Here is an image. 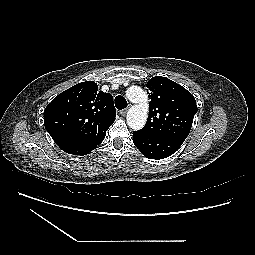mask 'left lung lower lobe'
Instances as JSON below:
<instances>
[{"label": "left lung lower lobe", "mask_w": 255, "mask_h": 255, "mask_svg": "<svg viewBox=\"0 0 255 255\" xmlns=\"http://www.w3.org/2000/svg\"><path fill=\"white\" fill-rule=\"evenodd\" d=\"M186 138L171 135H142L133 132V143L149 159H164L174 154Z\"/></svg>", "instance_id": "0a47b994"}]
</instances>
